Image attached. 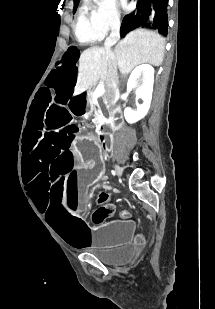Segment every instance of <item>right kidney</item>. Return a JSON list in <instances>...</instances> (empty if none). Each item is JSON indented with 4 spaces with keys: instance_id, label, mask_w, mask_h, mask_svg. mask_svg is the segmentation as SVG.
<instances>
[{
    "instance_id": "ca27d5eb",
    "label": "right kidney",
    "mask_w": 215,
    "mask_h": 309,
    "mask_svg": "<svg viewBox=\"0 0 215 309\" xmlns=\"http://www.w3.org/2000/svg\"><path fill=\"white\" fill-rule=\"evenodd\" d=\"M154 68L151 64H139L136 66L134 70H132L128 82H127V90H133L136 88V80L143 76V82L139 88H136V104L138 106L137 110H132V108H125L124 116L127 122H136V120H140L143 118L145 114H147L151 100H152V92H153V84H154ZM138 98H142V104H139Z\"/></svg>"
}]
</instances>
